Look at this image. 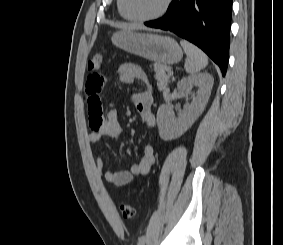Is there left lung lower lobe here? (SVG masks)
Masks as SVG:
<instances>
[{
    "label": "left lung lower lobe",
    "mask_w": 283,
    "mask_h": 245,
    "mask_svg": "<svg viewBox=\"0 0 283 245\" xmlns=\"http://www.w3.org/2000/svg\"><path fill=\"white\" fill-rule=\"evenodd\" d=\"M232 0H172L166 14L144 24L174 32L201 48L220 68L228 65Z\"/></svg>",
    "instance_id": "0a47b994"
}]
</instances>
